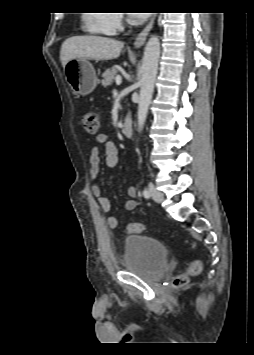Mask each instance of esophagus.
Listing matches in <instances>:
<instances>
[{
    "label": "esophagus",
    "mask_w": 254,
    "mask_h": 355,
    "mask_svg": "<svg viewBox=\"0 0 254 355\" xmlns=\"http://www.w3.org/2000/svg\"><path fill=\"white\" fill-rule=\"evenodd\" d=\"M156 19V14H153V16L151 17L149 23L146 25V27L138 34V36L136 37L135 41H134V46L136 48L141 47L145 41L146 38L149 34V32L151 31V29L153 28L154 22Z\"/></svg>",
    "instance_id": "obj_1"
}]
</instances>
